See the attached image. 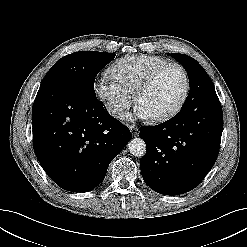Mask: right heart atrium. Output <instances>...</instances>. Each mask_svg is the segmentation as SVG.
<instances>
[{
	"mask_svg": "<svg viewBox=\"0 0 247 247\" xmlns=\"http://www.w3.org/2000/svg\"><path fill=\"white\" fill-rule=\"evenodd\" d=\"M95 94L112 117H119L132 103L131 95L109 71L99 76L95 83Z\"/></svg>",
	"mask_w": 247,
	"mask_h": 247,
	"instance_id": "right-heart-atrium-1",
	"label": "right heart atrium"
}]
</instances>
